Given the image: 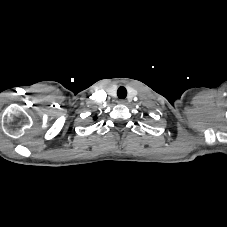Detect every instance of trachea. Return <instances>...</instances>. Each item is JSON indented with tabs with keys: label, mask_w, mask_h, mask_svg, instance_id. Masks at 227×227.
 <instances>
[{
	"label": "trachea",
	"mask_w": 227,
	"mask_h": 227,
	"mask_svg": "<svg viewBox=\"0 0 227 227\" xmlns=\"http://www.w3.org/2000/svg\"><path fill=\"white\" fill-rule=\"evenodd\" d=\"M117 96L119 99H125L127 96V90L125 87L120 86L117 90Z\"/></svg>",
	"instance_id": "trachea-1"
}]
</instances>
